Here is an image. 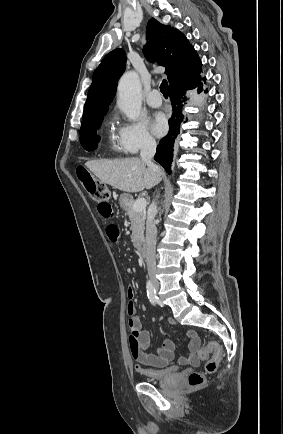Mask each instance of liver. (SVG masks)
<instances>
[{
  "mask_svg": "<svg viewBox=\"0 0 283 434\" xmlns=\"http://www.w3.org/2000/svg\"><path fill=\"white\" fill-rule=\"evenodd\" d=\"M85 168L102 183L128 193L151 189L161 180V170L153 171L138 157L90 160L85 163Z\"/></svg>",
  "mask_w": 283,
  "mask_h": 434,
  "instance_id": "6515ba94",
  "label": "liver"
}]
</instances>
